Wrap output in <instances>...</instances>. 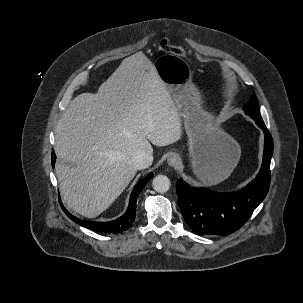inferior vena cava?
I'll return each mask as SVG.
<instances>
[{
    "mask_svg": "<svg viewBox=\"0 0 303 303\" xmlns=\"http://www.w3.org/2000/svg\"><path fill=\"white\" fill-rule=\"evenodd\" d=\"M152 161V154H148L144 151H139L132 158V162L137 169H145L149 167L152 164Z\"/></svg>",
    "mask_w": 303,
    "mask_h": 303,
    "instance_id": "obj_1",
    "label": "inferior vena cava"
}]
</instances>
